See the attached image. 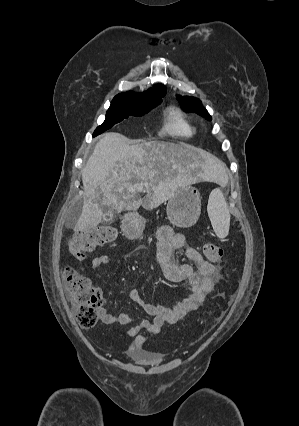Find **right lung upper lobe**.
<instances>
[{
  "label": "right lung upper lobe",
  "mask_w": 299,
  "mask_h": 426,
  "mask_svg": "<svg viewBox=\"0 0 299 426\" xmlns=\"http://www.w3.org/2000/svg\"><path fill=\"white\" fill-rule=\"evenodd\" d=\"M153 92H166V89L163 85L158 84V85H155L153 89H149L147 92L137 94L133 91H129V92L116 95L115 99L126 100V101L138 100L142 95H145L147 93H153Z\"/></svg>",
  "instance_id": "obj_1"
}]
</instances>
